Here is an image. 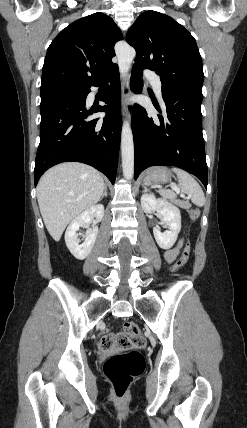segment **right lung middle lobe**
<instances>
[{
  "label": "right lung middle lobe",
  "mask_w": 247,
  "mask_h": 428,
  "mask_svg": "<svg viewBox=\"0 0 247 428\" xmlns=\"http://www.w3.org/2000/svg\"><path fill=\"white\" fill-rule=\"evenodd\" d=\"M85 89H63L53 92L41 94V100L52 97L69 96V95H81Z\"/></svg>",
  "instance_id": "obj_1"
}]
</instances>
